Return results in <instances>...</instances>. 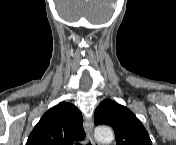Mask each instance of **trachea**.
I'll list each match as a JSON object with an SVG mask.
<instances>
[{
    "label": "trachea",
    "instance_id": "3493384b",
    "mask_svg": "<svg viewBox=\"0 0 176 145\" xmlns=\"http://www.w3.org/2000/svg\"><path fill=\"white\" fill-rule=\"evenodd\" d=\"M76 145H82V144L76 142ZM86 145H92V144H91V143H88V144H86Z\"/></svg>",
    "mask_w": 176,
    "mask_h": 145
}]
</instances>
